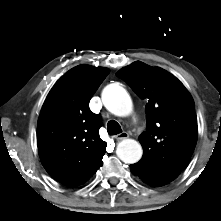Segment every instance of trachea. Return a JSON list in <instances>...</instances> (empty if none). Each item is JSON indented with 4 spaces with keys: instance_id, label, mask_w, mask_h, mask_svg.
<instances>
[{
    "instance_id": "trachea-1",
    "label": "trachea",
    "mask_w": 221,
    "mask_h": 221,
    "mask_svg": "<svg viewBox=\"0 0 221 221\" xmlns=\"http://www.w3.org/2000/svg\"><path fill=\"white\" fill-rule=\"evenodd\" d=\"M107 131L109 135H116L122 132L121 126L115 120H110L107 124Z\"/></svg>"
}]
</instances>
